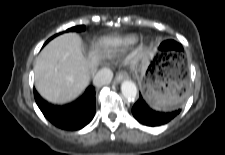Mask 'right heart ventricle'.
Wrapping results in <instances>:
<instances>
[{"label":"right heart ventricle","mask_w":225,"mask_h":155,"mask_svg":"<svg viewBox=\"0 0 225 155\" xmlns=\"http://www.w3.org/2000/svg\"><path fill=\"white\" fill-rule=\"evenodd\" d=\"M136 41H137V37L136 36H130V37L125 38L122 43L125 44V45H128V44H132V43H134ZM120 43H121V41H114L112 43V45H118Z\"/></svg>","instance_id":"right-heart-ventricle-1"}]
</instances>
